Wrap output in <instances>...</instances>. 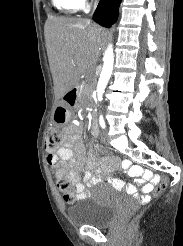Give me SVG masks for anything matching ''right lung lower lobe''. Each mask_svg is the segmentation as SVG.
<instances>
[{
    "label": "right lung lower lobe",
    "mask_w": 183,
    "mask_h": 246,
    "mask_svg": "<svg viewBox=\"0 0 183 246\" xmlns=\"http://www.w3.org/2000/svg\"><path fill=\"white\" fill-rule=\"evenodd\" d=\"M121 0H100L93 19L101 26L109 28L118 18Z\"/></svg>",
    "instance_id": "98d812e1"
}]
</instances>
